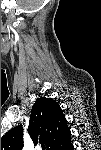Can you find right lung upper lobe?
<instances>
[{
  "label": "right lung upper lobe",
  "mask_w": 101,
  "mask_h": 150,
  "mask_svg": "<svg viewBox=\"0 0 101 150\" xmlns=\"http://www.w3.org/2000/svg\"><path fill=\"white\" fill-rule=\"evenodd\" d=\"M28 132L34 141L46 144L47 149L64 150L71 142V133L59 104L51 98H38L34 103ZM23 129L17 126L1 139V150H21Z\"/></svg>",
  "instance_id": "obj_1"
}]
</instances>
